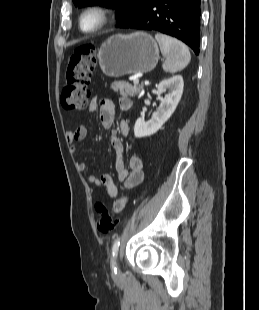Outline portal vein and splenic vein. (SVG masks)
<instances>
[{
  "instance_id": "obj_1",
  "label": "portal vein and splenic vein",
  "mask_w": 259,
  "mask_h": 310,
  "mask_svg": "<svg viewBox=\"0 0 259 310\" xmlns=\"http://www.w3.org/2000/svg\"><path fill=\"white\" fill-rule=\"evenodd\" d=\"M133 83H134V85H137L139 83V79L138 78L134 79Z\"/></svg>"
}]
</instances>
